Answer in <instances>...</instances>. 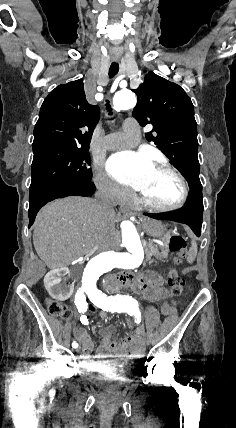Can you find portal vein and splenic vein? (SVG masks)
Masks as SVG:
<instances>
[{"label": "portal vein and splenic vein", "instance_id": "obj_1", "mask_svg": "<svg viewBox=\"0 0 236 428\" xmlns=\"http://www.w3.org/2000/svg\"><path fill=\"white\" fill-rule=\"evenodd\" d=\"M153 242H157V240H153Z\"/></svg>", "mask_w": 236, "mask_h": 428}]
</instances>
